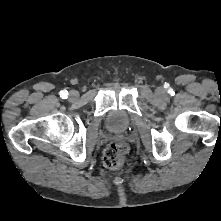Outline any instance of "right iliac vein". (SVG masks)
Here are the masks:
<instances>
[{
    "label": "right iliac vein",
    "mask_w": 221,
    "mask_h": 221,
    "mask_svg": "<svg viewBox=\"0 0 221 221\" xmlns=\"http://www.w3.org/2000/svg\"><path fill=\"white\" fill-rule=\"evenodd\" d=\"M78 96H79V93L77 91H75V90L70 91V93H69V99L71 101L76 100L78 98Z\"/></svg>",
    "instance_id": "63e3f726"
}]
</instances>
